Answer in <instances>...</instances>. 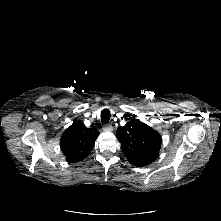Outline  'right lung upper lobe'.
I'll return each instance as SVG.
<instances>
[{
	"instance_id": "right-lung-upper-lobe-1",
	"label": "right lung upper lobe",
	"mask_w": 221,
	"mask_h": 221,
	"mask_svg": "<svg viewBox=\"0 0 221 221\" xmlns=\"http://www.w3.org/2000/svg\"><path fill=\"white\" fill-rule=\"evenodd\" d=\"M99 132L95 128H86L84 123L76 120L63 133L60 146L69 162L85 159L94 147Z\"/></svg>"
}]
</instances>
